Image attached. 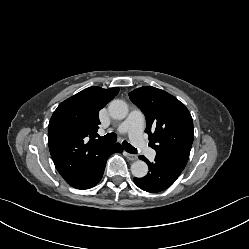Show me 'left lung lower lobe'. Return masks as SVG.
Instances as JSON below:
<instances>
[{
    "label": "left lung lower lobe",
    "mask_w": 249,
    "mask_h": 249,
    "mask_svg": "<svg viewBox=\"0 0 249 249\" xmlns=\"http://www.w3.org/2000/svg\"><path fill=\"white\" fill-rule=\"evenodd\" d=\"M148 164L149 172L143 178H134L135 184L142 190L155 193L170 187L181 174L182 170L168 166L155 160L150 163L144 156L139 157Z\"/></svg>",
    "instance_id": "left-lung-lower-lobe-1"
}]
</instances>
